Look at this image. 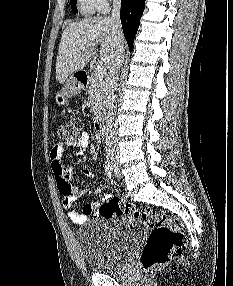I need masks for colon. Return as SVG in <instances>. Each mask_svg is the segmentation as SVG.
Segmentation results:
<instances>
[{
  "instance_id": "colon-1",
  "label": "colon",
  "mask_w": 233,
  "mask_h": 286,
  "mask_svg": "<svg viewBox=\"0 0 233 286\" xmlns=\"http://www.w3.org/2000/svg\"><path fill=\"white\" fill-rule=\"evenodd\" d=\"M81 129L82 120L73 117L57 124L56 135L62 142L74 143L79 139ZM98 211L100 216L107 219H139L150 228L151 232L141 255V265L145 271L169 263L185 250L187 239L182 222L173 215L151 208L140 209L118 198L104 201Z\"/></svg>"
}]
</instances>
